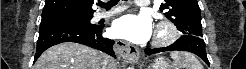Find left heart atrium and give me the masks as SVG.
I'll return each instance as SVG.
<instances>
[{"instance_id": "39dd6f15", "label": "left heart atrium", "mask_w": 246, "mask_h": 69, "mask_svg": "<svg viewBox=\"0 0 246 69\" xmlns=\"http://www.w3.org/2000/svg\"><path fill=\"white\" fill-rule=\"evenodd\" d=\"M111 31L116 37L134 43H144L151 36L152 26L147 16L143 14H128L117 19Z\"/></svg>"}]
</instances>
